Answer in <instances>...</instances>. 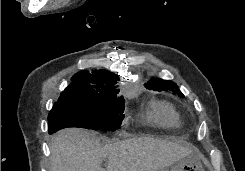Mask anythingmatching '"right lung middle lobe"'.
I'll return each instance as SVG.
<instances>
[{
	"label": "right lung middle lobe",
	"mask_w": 245,
	"mask_h": 171,
	"mask_svg": "<svg viewBox=\"0 0 245 171\" xmlns=\"http://www.w3.org/2000/svg\"><path fill=\"white\" fill-rule=\"evenodd\" d=\"M123 97L56 102L48 116L50 134L67 127L115 131L124 118Z\"/></svg>",
	"instance_id": "1"
}]
</instances>
